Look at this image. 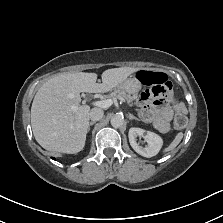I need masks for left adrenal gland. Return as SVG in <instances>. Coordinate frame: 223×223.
Here are the masks:
<instances>
[{
  "label": "left adrenal gland",
  "mask_w": 223,
  "mask_h": 223,
  "mask_svg": "<svg viewBox=\"0 0 223 223\" xmlns=\"http://www.w3.org/2000/svg\"><path fill=\"white\" fill-rule=\"evenodd\" d=\"M129 119H135L137 121H139V119L135 116H133L132 114L128 113Z\"/></svg>",
  "instance_id": "left-adrenal-gland-1"
}]
</instances>
